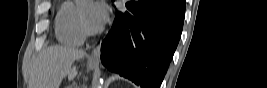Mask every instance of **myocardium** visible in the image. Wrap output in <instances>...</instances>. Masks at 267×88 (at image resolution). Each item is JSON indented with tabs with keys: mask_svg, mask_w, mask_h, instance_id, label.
<instances>
[{
	"mask_svg": "<svg viewBox=\"0 0 267 88\" xmlns=\"http://www.w3.org/2000/svg\"><path fill=\"white\" fill-rule=\"evenodd\" d=\"M78 18H79V23L80 26L82 28V31H84L86 34H97L99 32H101V28H96V27H91L87 24V22L84 19V16L82 14V10L81 8L79 9V14H78Z\"/></svg>",
	"mask_w": 267,
	"mask_h": 88,
	"instance_id": "myocardium-1",
	"label": "myocardium"
}]
</instances>
